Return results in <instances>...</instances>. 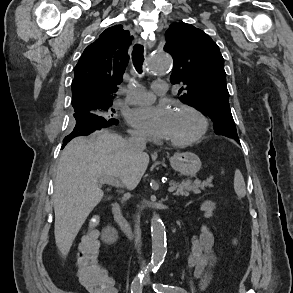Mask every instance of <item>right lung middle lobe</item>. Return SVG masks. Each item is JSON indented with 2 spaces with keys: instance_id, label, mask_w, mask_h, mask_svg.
Returning <instances> with one entry per match:
<instances>
[{
  "instance_id": "obj_1",
  "label": "right lung middle lobe",
  "mask_w": 293,
  "mask_h": 293,
  "mask_svg": "<svg viewBox=\"0 0 293 293\" xmlns=\"http://www.w3.org/2000/svg\"><path fill=\"white\" fill-rule=\"evenodd\" d=\"M93 110L97 115L107 119H111L115 113V110L112 108V102H97L93 104Z\"/></svg>"
}]
</instances>
